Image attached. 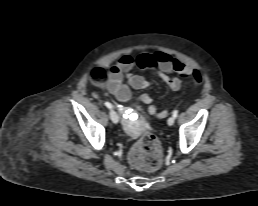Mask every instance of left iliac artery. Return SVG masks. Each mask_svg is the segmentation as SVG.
<instances>
[{
    "instance_id": "left-iliac-artery-1",
    "label": "left iliac artery",
    "mask_w": 258,
    "mask_h": 206,
    "mask_svg": "<svg viewBox=\"0 0 258 206\" xmlns=\"http://www.w3.org/2000/svg\"><path fill=\"white\" fill-rule=\"evenodd\" d=\"M178 116V110L173 111V117L176 118Z\"/></svg>"
}]
</instances>
